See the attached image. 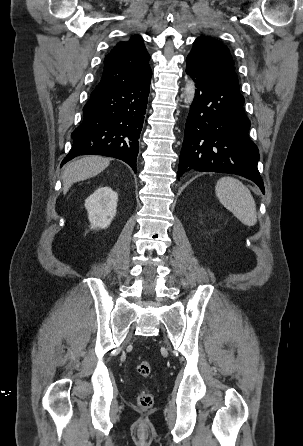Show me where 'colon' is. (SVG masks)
Here are the masks:
<instances>
[{"label":"colon","mask_w":303,"mask_h":446,"mask_svg":"<svg viewBox=\"0 0 303 446\" xmlns=\"http://www.w3.org/2000/svg\"><path fill=\"white\" fill-rule=\"evenodd\" d=\"M137 372L142 377H148L151 373V365L148 361H141L137 366ZM138 405L143 409H149L153 406L154 398L151 393L142 391L137 398Z\"/></svg>","instance_id":"1"}]
</instances>
